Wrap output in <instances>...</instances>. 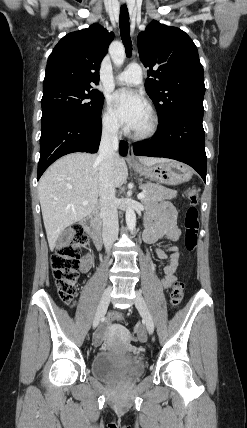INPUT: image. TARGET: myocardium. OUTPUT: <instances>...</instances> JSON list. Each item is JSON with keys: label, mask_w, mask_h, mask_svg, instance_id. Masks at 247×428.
Returning a JSON list of instances; mask_svg holds the SVG:
<instances>
[{"label": "myocardium", "mask_w": 247, "mask_h": 428, "mask_svg": "<svg viewBox=\"0 0 247 428\" xmlns=\"http://www.w3.org/2000/svg\"><path fill=\"white\" fill-rule=\"evenodd\" d=\"M148 114L150 118L149 126L144 131H134L132 136L136 140H148L156 135L159 129V117L157 113L152 109H148Z\"/></svg>", "instance_id": "myocardium-1"}]
</instances>
